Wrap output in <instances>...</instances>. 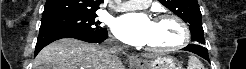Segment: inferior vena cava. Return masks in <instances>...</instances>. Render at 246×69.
I'll return each mask as SVG.
<instances>
[{
  "label": "inferior vena cava",
  "instance_id": "602c4592",
  "mask_svg": "<svg viewBox=\"0 0 246 69\" xmlns=\"http://www.w3.org/2000/svg\"><path fill=\"white\" fill-rule=\"evenodd\" d=\"M113 53H117L119 51H121L123 48L119 45H115L113 44L111 41L108 42V46H107Z\"/></svg>",
  "mask_w": 246,
  "mask_h": 69
}]
</instances>
